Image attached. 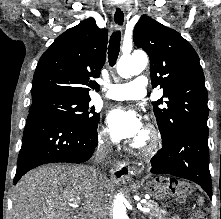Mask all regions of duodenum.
Returning <instances> with one entry per match:
<instances>
[{
	"mask_svg": "<svg viewBox=\"0 0 221 219\" xmlns=\"http://www.w3.org/2000/svg\"><path fill=\"white\" fill-rule=\"evenodd\" d=\"M69 219H84L80 214H76L72 217H70Z\"/></svg>",
	"mask_w": 221,
	"mask_h": 219,
	"instance_id": "obj_1",
	"label": "duodenum"
}]
</instances>
